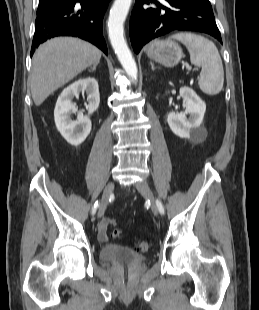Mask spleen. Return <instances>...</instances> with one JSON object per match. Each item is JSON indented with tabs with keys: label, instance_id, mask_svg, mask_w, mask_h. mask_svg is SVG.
Wrapping results in <instances>:
<instances>
[{
	"label": "spleen",
	"instance_id": "3e777b00",
	"mask_svg": "<svg viewBox=\"0 0 259 310\" xmlns=\"http://www.w3.org/2000/svg\"><path fill=\"white\" fill-rule=\"evenodd\" d=\"M170 38L183 43L190 54V61L202 71L199 77L200 89L208 95H216L223 89L224 69L219 51L209 39L190 32H180Z\"/></svg>",
	"mask_w": 259,
	"mask_h": 310
}]
</instances>
